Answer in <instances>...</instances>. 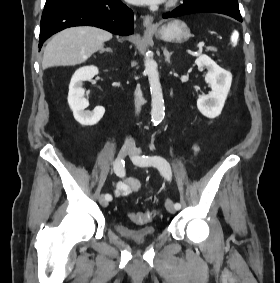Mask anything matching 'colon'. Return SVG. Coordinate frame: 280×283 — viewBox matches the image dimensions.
<instances>
[{
  "mask_svg": "<svg viewBox=\"0 0 280 283\" xmlns=\"http://www.w3.org/2000/svg\"><path fill=\"white\" fill-rule=\"evenodd\" d=\"M230 33L233 34L234 37H230L229 41L233 42L232 46L236 47L237 43L240 41V38L242 36L241 32H235L234 29L230 30ZM157 213L154 211H146V212H132L130 213V218L133 222L136 224H146L150 221H152L156 217Z\"/></svg>",
  "mask_w": 280,
  "mask_h": 283,
  "instance_id": "1",
  "label": "colon"
}]
</instances>
